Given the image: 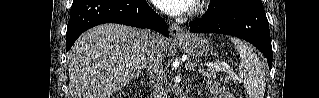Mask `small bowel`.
Listing matches in <instances>:
<instances>
[{
  "mask_svg": "<svg viewBox=\"0 0 319 98\" xmlns=\"http://www.w3.org/2000/svg\"><path fill=\"white\" fill-rule=\"evenodd\" d=\"M210 89L214 91L216 98H232L226 90L215 83L210 84Z\"/></svg>",
  "mask_w": 319,
  "mask_h": 98,
  "instance_id": "obj_1",
  "label": "small bowel"
}]
</instances>
